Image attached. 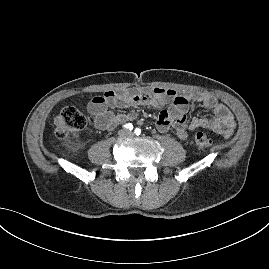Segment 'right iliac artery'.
Returning a JSON list of instances; mask_svg holds the SVG:
<instances>
[{
    "label": "right iliac artery",
    "instance_id": "1",
    "mask_svg": "<svg viewBox=\"0 0 269 269\" xmlns=\"http://www.w3.org/2000/svg\"><path fill=\"white\" fill-rule=\"evenodd\" d=\"M123 127L127 130H133V125L131 123H127V124L123 125Z\"/></svg>",
    "mask_w": 269,
    "mask_h": 269
}]
</instances>
